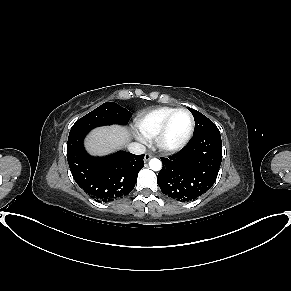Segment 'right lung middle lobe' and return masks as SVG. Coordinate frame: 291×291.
Here are the masks:
<instances>
[{"label":"right lung middle lobe","instance_id":"obj_1","mask_svg":"<svg viewBox=\"0 0 291 291\" xmlns=\"http://www.w3.org/2000/svg\"><path fill=\"white\" fill-rule=\"evenodd\" d=\"M131 113L115 102H107L80 118L72 126L71 131L92 129L98 126L121 124L126 125Z\"/></svg>","mask_w":291,"mask_h":291}]
</instances>
